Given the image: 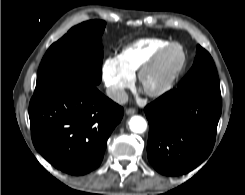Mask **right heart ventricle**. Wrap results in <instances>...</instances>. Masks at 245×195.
I'll return each mask as SVG.
<instances>
[{
    "label": "right heart ventricle",
    "mask_w": 245,
    "mask_h": 195,
    "mask_svg": "<svg viewBox=\"0 0 245 195\" xmlns=\"http://www.w3.org/2000/svg\"><path fill=\"white\" fill-rule=\"evenodd\" d=\"M171 42L159 38L139 39L125 46L117 59L122 68L132 77L154 54Z\"/></svg>",
    "instance_id": "1"
}]
</instances>
